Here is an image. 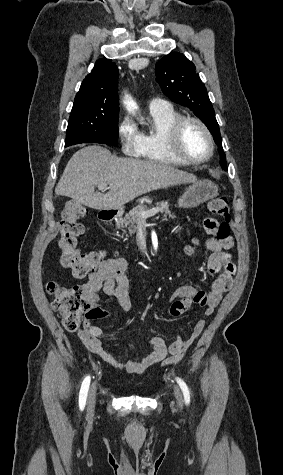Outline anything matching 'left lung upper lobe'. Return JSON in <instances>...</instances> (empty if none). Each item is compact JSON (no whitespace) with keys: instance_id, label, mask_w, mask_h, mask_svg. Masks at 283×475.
<instances>
[{"instance_id":"1","label":"left lung upper lobe","mask_w":283,"mask_h":475,"mask_svg":"<svg viewBox=\"0 0 283 475\" xmlns=\"http://www.w3.org/2000/svg\"><path fill=\"white\" fill-rule=\"evenodd\" d=\"M155 73L163 93L174 102L190 108L208 127L215 142H222L213 106L194 64L181 53H170L156 64Z\"/></svg>"}]
</instances>
